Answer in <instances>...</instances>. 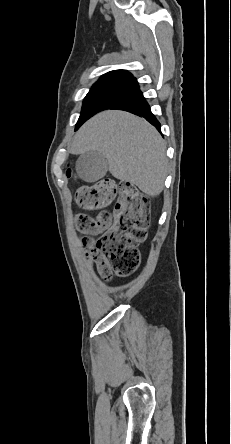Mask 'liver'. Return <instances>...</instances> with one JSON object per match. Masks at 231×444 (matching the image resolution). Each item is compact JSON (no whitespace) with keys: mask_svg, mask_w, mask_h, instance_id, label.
<instances>
[{"mask_svg":"<svg viewBox=\"0 0 231 444\" xmlns=\"http://www.w3.org/2000/svg\"><path fill=\"white\" fill-rule=\"evenodd\" d=\"M72 154L97 151L108 160L110 173L154 197L164 188L168 160L158 131L143 118L106 110L88 120L76 133Z\"/></svg>","mask_w":231,"mask_h":444,"instance_id":"liver-1","label":"liver"}]
</instances>
